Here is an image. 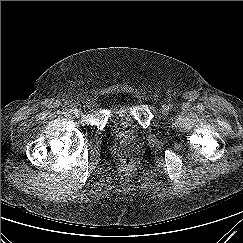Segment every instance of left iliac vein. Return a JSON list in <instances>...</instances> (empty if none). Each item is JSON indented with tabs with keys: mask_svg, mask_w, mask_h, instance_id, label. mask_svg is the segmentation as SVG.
I'll return each mask as SVG.
<instances>
[{
	"mask_svg": "<svg viewBox=\"0 0 243 243\" xmlns=\"http://www.w3.org/2000/svg\"><path fill=\"white\" fill-rule=\"evenodd\" d=\"M161 111L164 115H167L169 112L168 106L167 105H163L161 108Z\"/></svg>",
	"mask_w": 243,
	"mask_h": 243,
	"instance_id": "4c4485c4",
	"label": "left iliac vein"
}]
</instances>
